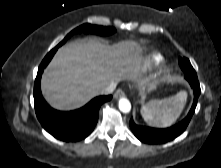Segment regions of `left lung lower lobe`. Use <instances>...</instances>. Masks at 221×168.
Wrapping results in <instances>:
<instances>
[{"label": "left lung lower lobe", "mask_w": 221, "mask_h": 168, "mask_svg": "<svg viewBox=\"0 0 221 168\" xmlns=\"http://www.w3.org/2000/svg\"><path fill=\"white\" fill-rule=\"evenodd\" d=\"M185 78L189 82V84L191 85L194 91V101L188 115L181 122L169 128H164V129L136 125L133 119H131L130 120L131 130L141 142L148 144H162L175 139L185 131L191 120L192 115L195 112L198 97L201 93L200 85L196 74L186 75Z\"/></svg>", "instance_id": "obj_1"}]
</instances>
